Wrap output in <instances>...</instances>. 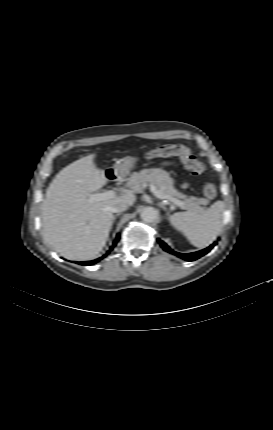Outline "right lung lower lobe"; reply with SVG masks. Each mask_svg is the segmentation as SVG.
<instances>
[{
	"label": "right lung lower lobe",
	"instance_id": "right-lung-lower-lobe-1",
	"mask_svg": "<svg viewBox=\"0 0 273 430\" xmlns=\"http://www.w3.org/2000/svg\"><path fill=\"white\" fill-rule=\"evenodd\" d=\"M119 239H120V235H119V234H117V236H116V240L114 241L113 246H112V247L110 248V250H109V251H107V253H106L105 255H103L102 257H100V258H98V259H95V260H93V261L76 262V263H78V264H80V265H93V264H95V263L99 262L101 259H103L104 257H106V256L110 253V251H111V250H113L114 246H116V244H117V242L119 241Z\"/></svg>",
	"mask_w": 273,
	"mask_h": 430
}]
</instances>
